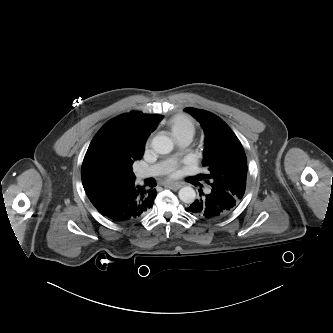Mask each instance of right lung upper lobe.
<instances>
[{
  "label": "right lung upper lobe",
  "mask_w": 333,
  "mask_h": 333,
  "mask_svg": "<svg viewBox=\"0 0 333 333\" xmlns=\"http://www.w3.org/2000/svg\"><path fill=\"white\" fill-rule=\"evenodd\" d=\"M161 119V115L134 111L108 121L91 141L82 169L100 160L107 153L123 152L141 158L148 136L156 129ZM82 182L84 189L106 185L84 178L83 172Z\"/></svg>",
  "instance_id": "1"
}]
</instances>
